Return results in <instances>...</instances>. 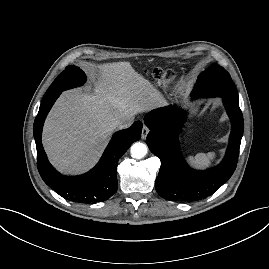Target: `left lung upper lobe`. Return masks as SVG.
<instances>
[{
	"mask_svg": "<svg viewBox=\"0 0 269 269\" xmlns=\"http://www.w3.org/2000/svg\"><path fill=\"white\" fill-rule=\"evenodd\" d=\"M194 93L196 96H219L238 100V93L229 73L217 64L200 74Z\"/></svg>",
	"mask_w": 269,
	"mask_h": 269,
	"instance_id": "obj_1",
	"label": "left lung upper lobe"
}]
</instances>
